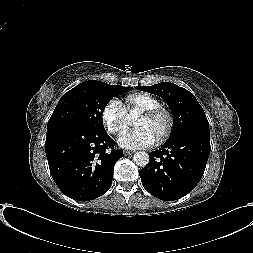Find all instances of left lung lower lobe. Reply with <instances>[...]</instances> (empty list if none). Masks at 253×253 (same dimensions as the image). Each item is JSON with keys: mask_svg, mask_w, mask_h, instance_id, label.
Instances as JSON below:
<instances>
[{"mask_svg": "<svg viewBox=\"0 0 253 253\" xmlns=\"http://www.w3.org/2000/svg\"><path fill=\"white\" fill-rule=\"evenodd\" d=\"M210 149L209 130L191 128L175 134L149 154L148 165L139 171L144 188L161 200L183 197L201 180Z\"/></svg>", "mask_w": 253, "mask_h": 253, "instance_id": "obj_1", "label": "left lung lower lobe"}]
</instances>
